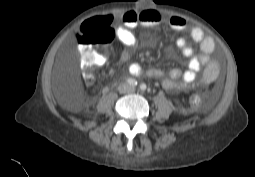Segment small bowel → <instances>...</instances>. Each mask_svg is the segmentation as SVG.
I'll use <instances>...</instances> for the list:
<instances>
[{
  "label": "small bowel",
  "mask_w": 255,
  "mask_h": 177,
  "mask_svg": "<svg viewBox=\"0 0 255 177\" xmlns=\"http://www.w3.org/2000/svg\"><path fill=\"white\" fill-rule=\"evenodd\" d=\"M164 21L163 15L150 8H145L140 11H127L122 16L120 25L114 28L117 39L125 46L120 53V60L127 62L133 51L139 46V41L133 32V29L139 27H154ZM170 27L175 31H184L187 29V22L184 18L173 16L169 19ZM191 38L199 44L201 53L197 56L193 55V49L189 46L184 37L176 39V47L181 54L188 58L187 69L182 71L174 68L170 70L150 69L147 75L153 78H161L162 86L167 91H183L194 88L199 81L209 83L218 75L219 63L211 60L210 55L215 49L214 40L206 36L204 31L194 26L190 29ZM174 53V51H171ZM107 60L104 52L96 53V66L103 65ZM206 66L202 79H198L200 69ZM209 69V74L206 75V70ZM129 73L134 76H139L143 73L142 67L138 63H131L128 67Z\"/></svg>",
  "instance_id": "1"
}]
</instances>
